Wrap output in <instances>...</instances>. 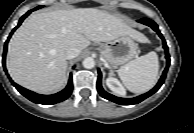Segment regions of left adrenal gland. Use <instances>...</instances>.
Instances as JSON below:
<instances>
[{
  "label": "left adrenal gland",
  "instance_id": "obj_1",
  "mask_svg": "<svg viewBox=\"0 0 194 133\" xmlns=\"http://www.w3.org/2000/svg\"><path fill=\"white\" fill-rule=\"evenodd\" d=\"M112 75H114V72H113V70L110 68V70H109V76H112Z\"/></svg>",
  "mask_w": 194,
  "mask_h": 133
}]
</instances>
